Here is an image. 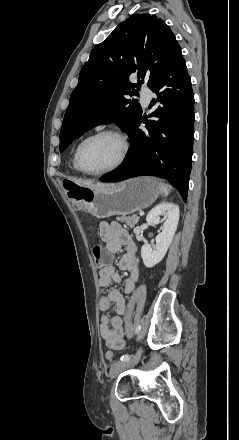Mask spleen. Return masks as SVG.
Listing matches in <instances>:
<instances>
[{
  "instance_id": "obj_1",
  "label": "spleen",
  "mask_w": 239,
  "mask_h": 440,
  "mask_svg": "<svg viewBox=\"0 0 239 440\" xmlns=\"http://www.w3.org/2000/svg\"><path fill=\"white\" fill-rule=\"evenodd\" d=\"M161 188L164 196H168L169 192L172 190V186H170V184H161Z\"/></svg>"
}]
</instances>
